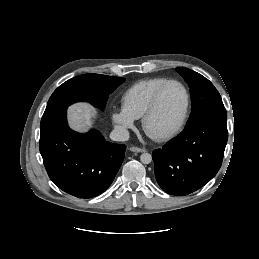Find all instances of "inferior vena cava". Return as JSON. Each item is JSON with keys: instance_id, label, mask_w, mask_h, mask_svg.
I'll list each match as a JSON object with an SVG mask.
<instances>
[{"instance_id": "inferior-vena-cava-1", "label": "inferior vena cava", "mask_w": 259, "mask_h": 259, "mask_svg": "<svg viewBox=\"0 0 259 259\" xmlns=\"http://www.w3.org/2000/svg\"><path fill=\"white\" fill-rule=\"evenodd\" d=\"M110 138L113 141H127L129 139V132L122 126H115L114 130L110 133Z\"/></svg>"}]
</instances>
